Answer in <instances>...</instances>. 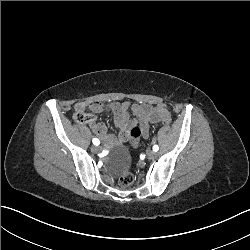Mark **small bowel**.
I'll return each mask as SVG.
<instances>
[{"mask_svg":"<svg viewBox=\"0 0 250 250\" xmlns=\"http://www.w3.org/2000/svg\"><path fill=\"white\" fill-rule=\"evenodd\" d=\"M166 106L164 103L158 104ZM152 105H137L130 106L128 102L117 104H102L99 102H78L75 104L76 111H86L90 109L97 113H112L115 126L118 128V136L110 134L107 126L101 122H92L91 128L94 133L107 145H116L117 143L127 142L130 138V130L133 126H140L142 128L143 137H148L150 125L158 123L156 118H151L148 115V110ZM167 107V106H166ZM168 108V107H167ZM131 110V112H130Z\"/></svg>","mask_w":250,"mask_h":250,"instance_id":"obj_1","label":"small bowel"}]
</instances>
